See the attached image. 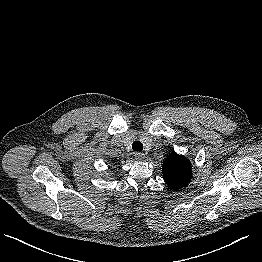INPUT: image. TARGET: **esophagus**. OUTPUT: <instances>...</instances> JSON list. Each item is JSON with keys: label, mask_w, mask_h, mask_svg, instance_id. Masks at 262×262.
Segmentation results:
<instances>
[{"label": "esophagus", "mask_w": 262, "mask_h": 262, "mask_svg": "<svg viewBox=\"0 0 262 262\" xmlns=\"http://www.w3.org/2000/svg\"><path fill=\"white\" fill-rule=\"evenodd\" d=\"M134 156H135V159L138 161H142L145 158L144 154L140 152H136Z\"/></svg>", "instance_id": "obj_1"}]
</instances>
